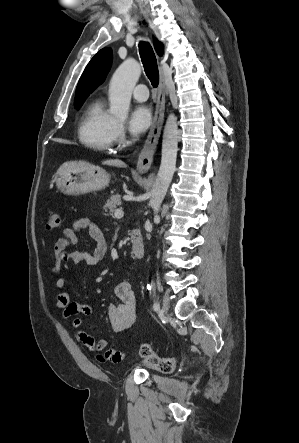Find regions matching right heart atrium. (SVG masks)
<instances>
[{"label": "right heart atrium", "instance_id": "obj_1", "mask_svg": "<svg viewBox=\"0 0 299 443\" xmlns=\"http://www.w3.org/2000/svg\"><path fill=\"white\" fill-rule=\"evenodd\" d=\"M124 137V127L121 123L116 122L114 127V138L115 140L122 139Z\"/></svg>", "mask_w": 299, "mask_h": 443}]
</instances>
